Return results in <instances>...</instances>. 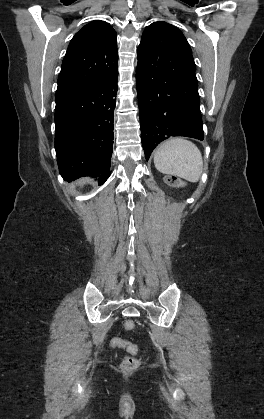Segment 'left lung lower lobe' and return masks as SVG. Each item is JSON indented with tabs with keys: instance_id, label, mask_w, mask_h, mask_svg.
<instances>
[{
	"instance_id": "0a47b994",
	"label": "left lung lower lobe",
	"mask_w": 264,
	"mask_h": 419,
	"mask_svg": "<svg viewBox=\"0 0 264 419\" xmlns=\"http://www.w3.org/2000/svg\"><path fill=\"white\" fill-rule=\"evenodd\" d=\"M166 50V42L157 40L138 47L136 86L146 160L170 136L204 139L196 76L169 64Z\"/></svg>"
}]
</instances>
